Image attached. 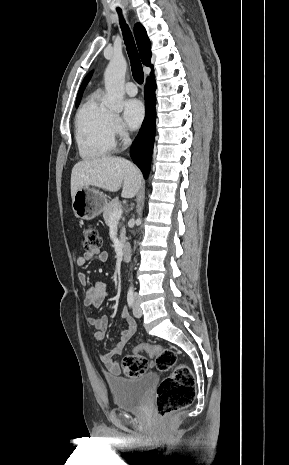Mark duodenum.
Here are the masks:
<instances>
[{
    "instance_id": "duodenum-1",
    "label": "duodenum",
    "mask_w": 289,
    "mask_h": 465,
    "mask_svg": "<svg viewBox=\"0 0 289 465\" xmlns=\"http://www.w3.org/2000/svg\"><path fill=\"white\" fill-rule=\"evenodd\" d=\"M121 258L123 261H128L130 259V247L125 245L121 250Z\"/></svg>"
}]
</instances>
